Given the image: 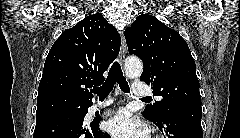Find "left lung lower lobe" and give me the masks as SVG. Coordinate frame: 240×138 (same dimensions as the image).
<instances>
[{"label":"left lung lower lobe","instance_id":"1","mask_svg":"<svg viewBox=\"0 0 240 138\" xmlns=\"http://www.w3.org/2000/svg\"><path fill=\"white\" fill-rule=\"evenodd\" d=\"M201 117V102H185L171 107L161 120L150 121L168 138H202Z\"/></svg>","mask_w":240,"mask_h":138}]
</instances>
